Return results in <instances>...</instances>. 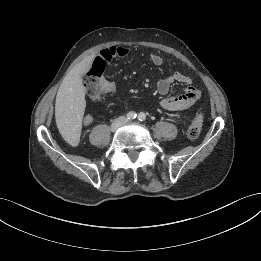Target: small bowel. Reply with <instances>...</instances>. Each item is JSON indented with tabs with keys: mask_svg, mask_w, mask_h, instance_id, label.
<instances>
[{
	"mask_svg": "<svg viewBox=\"0 0 261 261\" xmlns=\"http://www.w3.org/2000/svg\"><path fill=\"white\" fill-rule=\"evenodd\" d=\"M129 49L125 46H110L102 49L96 59L104 62V64L112 61L115 58H124L128 56ZM150 60L156 67H163L164 59L159 54H151ZM178 82L184 87L175 94H168L173 83ZM107 93L115 90V85L105 80ZM157 90L164 97L160 101V106L166 111H183L193 107L200 99V91L192 85V80L187 75L174 72L166 77L161 78L157 82ZM83 125L89 126L93 122L91 115H86L83 118Z\"/></svg>",
	"mask_w": 261,
	"mask_h": 261,
	"instance_id": "1",
	"label": "small bowel"
}]
</instances>
